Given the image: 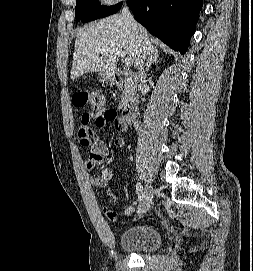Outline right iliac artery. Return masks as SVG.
<instances>
[{
  "instance_id": "obj_1",
  "label": "right iliac artery",
  "mask_w": 253,
  "mask_h": 271,
  "mask_svg": "<svg viewBox=\"0 0 253 271\" xmlns=\"http://www.w3.org/2000/svg\"><path fill=\"white\" fill-rule=\"evenodd\" d=\"M136 191L139 196V200H143L144 192H143V186L140 183L136 184Z\"/></svg>"
}]
</instances>
